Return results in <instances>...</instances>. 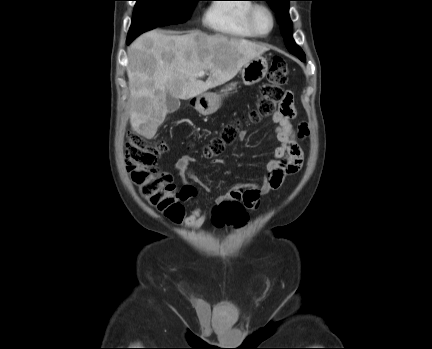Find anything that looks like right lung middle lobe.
I'll return each instance as SVG.
<instances>
[{
  "instance_id": "obj_1",
  "label": "right lung middle lobe",
  "mask_w": 432,
  "mask_h": 349,
  "mask_svg": "<svg viewBox=\"0 0 432 349\" xmlns=\"http://www.w3.org/2000/svg\"><path fill=\"white\" fill-rule=\"evenodd\" d=\"M137 1L127 40L141 33L170 24L183 23L190 18L194 4L200 0H135Z\"/></svg>"
}]
</instances>
